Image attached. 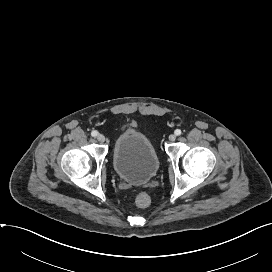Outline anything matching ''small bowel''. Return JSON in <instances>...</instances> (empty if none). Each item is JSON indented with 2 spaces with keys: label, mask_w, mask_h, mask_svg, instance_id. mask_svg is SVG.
<instances>
[{
  "label": "small bowel",
  "mask_w": 272,
  "mask_h": 272,
  "mask_svg": "<svg viewBox=\"0 0 272 272\" xmlns=\"http://www.w3.org/2000/svg\"><path fill=\"white\" fill-rule=\"evenodd\" d=\"M135 122H131V123H129V126H131V127H135Z\"/></svg>",
  "instance_id": "small-bowel-1"
}]
</instances>
